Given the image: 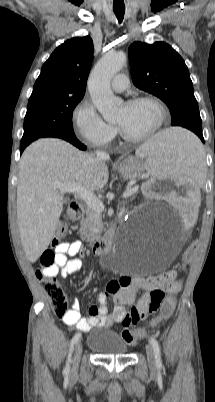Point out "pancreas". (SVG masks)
I'll return each mask as SVG.
<instances>
[{
	"label": "pancreas",
	"instance_id": "pancreas-1",
	"mask_svg": "<svg viewBox=\"0 0 215 402\" xmlns=\"http://www.w3.org/2000/svg\"><path fill=\"white\" fill-rule=\"evenodd\" d=\"M103 229L101 213L87 208L85 218L80 221V236L82 240L88 242L95 241L100 238Z\"/></svg>",
	"mask_w": 215,
	"mask_h": 402
}]
</instances>
